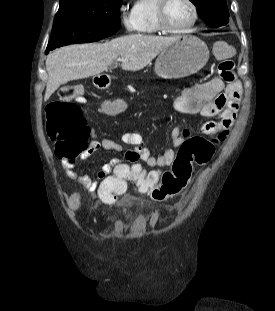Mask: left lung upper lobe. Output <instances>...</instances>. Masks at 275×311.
<instances>
[{
    "label": "left lung upper lobe",
    "mask_w": 275,
    "mask_h": 311,
    "mask_svg": "<svg viewBox=\"0 0 275 311\" xmlns=\"http://www.w3.org/2000/svg\"><path fill=\"white\" fill-rule=\"evenodd\" d=\"M198 9V15L210 27L228 23L229 11L226 0H190Z\"/></svg>",
    "instance_id": "obj_1"
}]
</instances>
